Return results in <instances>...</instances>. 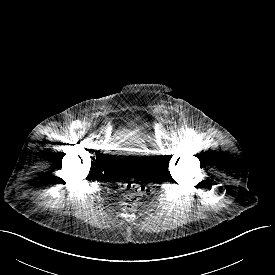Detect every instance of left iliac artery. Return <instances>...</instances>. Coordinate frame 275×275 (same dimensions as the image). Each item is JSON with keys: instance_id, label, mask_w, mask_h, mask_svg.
Listing matches in <instances>:
<instances>
[{"instance_id": "1", "label": "left iliac artery", "mask_w": 275, "mask_h": 275, "mask_svg": "<svg viewBox=\"0 0 275 275\" xmlns=\"http://www.w3.org/2000/svg\"><path fill=\"white\" fill-rule=\"evenodd\" d=\"M187 134L192 136V135H195V132L192 129H188Z\"/></svg>"}]
</instances>
